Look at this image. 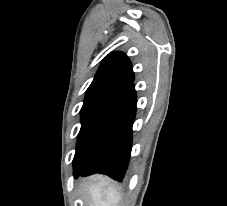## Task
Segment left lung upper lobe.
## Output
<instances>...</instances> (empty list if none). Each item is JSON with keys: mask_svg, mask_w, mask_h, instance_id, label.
<instances>
[{"mask_svg": "<svg viewBox=\"0 0 227 206\" xmlns=\"http://www.w3.org/2000/svg\"><path fill=\"white\" fill-rule=\"evenodd\" d=\"M134 80L129 58L122 52L107 55L87 89L81 108V129L78 134L73 167L88 153L96 126L110 102Z\"/></svg>", "mask_w": 227, "mask_h": 206, "instance_id": "5c2ea615", "label": "left lung upper lobe"}]
</instances>
